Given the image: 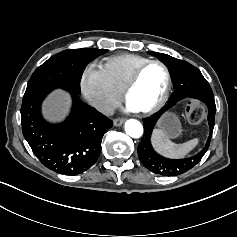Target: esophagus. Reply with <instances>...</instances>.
<instances>
[{
    "label": "esophagus",
    "instance_id": "1",
    "mask_svg": "<svg viewBox=\"0 0 237 237\" xmlns=\"http://www.w3.org/2000/svg\"><path fill=\"white\" fill-rule=\"evenodd\" d=\"M125 122L124 118H117L113 120L114 126H121Z\"/></svg>",
    "mask_w": 237,
    "mask_h": 237
}]
</instances>
